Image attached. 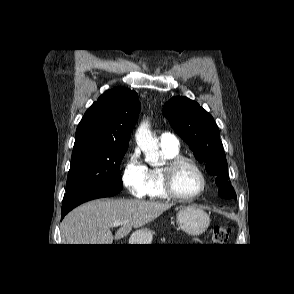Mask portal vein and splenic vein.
Masks as SVG:
<instances>
[{"label":"portal vein and splenic vein","mask_w":294,"mask_h":294,"mask_svg":"<svg viewBox=\"0 0 294 294\" xmlns=\"http://www.w3.org/2000/svg\"><path fill=\"white\" fill-rule=\"evenodd\" d=\"M120 225H122V222H114V223H113V227H118V226H120Z\"/></svg>","instance_id":"portal-vein-and-splenic-vein-1"}]
</instances>
